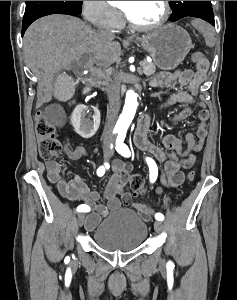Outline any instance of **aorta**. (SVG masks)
I'll use <instances>...</instances> for the list:
<instances>
[{"label":"aorta","instance_id":"obj_1","mask_svg":"<svg viewBox=\"0 0 237 300\" xmlns=\"http://www.w3.org/2000/svg\"><path fill=\"white\" fill-rule=\"evenodd\" d=\"M137 107L138 103L136 93H134V91H127L125 105L117 121V127H119V129H126L127 131L129 125H131L134 119Z\"/></svg>","mask_w":237,"mask_h":300}]
</instances>
